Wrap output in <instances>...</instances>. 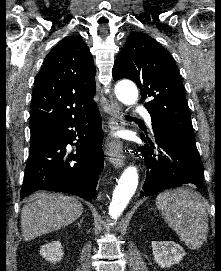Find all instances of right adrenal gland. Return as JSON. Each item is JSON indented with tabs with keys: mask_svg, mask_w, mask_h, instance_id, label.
Here are the masks:
<instances>
[{
	"mask_svg": "<svg viewBox=\"0 0 221 271\" xmlns=\"http://www.w3.org/2000/svg\"><path fill=\"white\" fill-rule=\"evenodd\" d=\"M83 219H84V217H82V219H80L79 223H77V225H79V227H81V223H83Z\"/></svg>",
	"mask_w": 221,
	"mask_h": 271,
	"instance_id": "2a0ac1e0",
	"label": "right adrenal gland"
}]
</instances>
